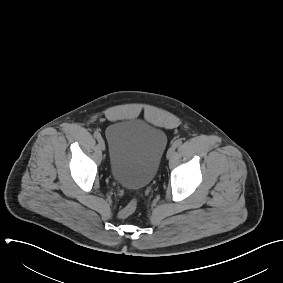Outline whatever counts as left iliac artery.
Masks as SVG:
<instances>
[{
    "mask_svg": "<svg viewBox=\"0 0 283 283\" xmlns=\"http://www.w3.org/2000/svg\"><path fill=\"white\" fill-rule=\"evenodd\" d=\"M182 144V140L181 139H178V140H176L175 142H174V146H175V148L176 147H179L180 145Z\"/></svg>",
    "mask_w": 283,
    "mask_h": 283,
    "instance_id": "left-iliac-artery-1",
    "label": "left iliac artery"
}]
</instances>
